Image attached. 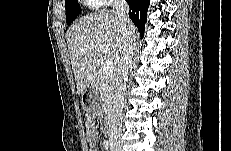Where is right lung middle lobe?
<instances>
[{
	"label": "right lung middle lobe",
	"instance_id": "1",
	"mask_svg": "<svg viewBox=\"0 0 231 151\" xmlns=\"http://www.w3.org/2000/svg\"><path fill=\"white\" fill-rule=\"evenodd\" d=\"M66 22L71 24L80 14V5L78 0H68L65 2Z\"/></svg>",
	"mask_w": 231,
	"mask_h": 151
}]
</instances>
